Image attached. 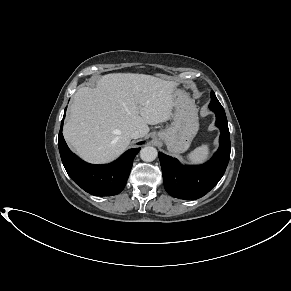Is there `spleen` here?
<instances>
[{
  "label": "spleen",
  "instance_id": "3e777b00",
  "mask_svg": "<svg viewBox=\"0 0 291 291\" xmlns=\"http://www.w3.org/2000/svg\"><path fill=\"white\" fill-rule=\"evenodd\" d=\"M209 156V146L207 144H203L200 147L195 148L192 152L187 155V159L191 163H202Z\"/></svg>",
  "mask_w": 291,
  "mask_h": 291
}]
</instances>
